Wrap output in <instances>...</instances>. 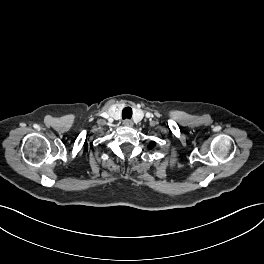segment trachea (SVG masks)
<instances>
[{"label":"trachea","instance_id":"3493384b","mask_svg":"<svg viewBox=\"0 0 264 264\" xmlns=\"http://www.w3.org/2000/svg\"><path fill=\"white\" fill-rule=\"evenodd\" d=\"M132 117V108L131 107H125L122 110V118L123 119H131Z\"/></svg>","mask_w":264,"mask_h":264}]
</instances>
